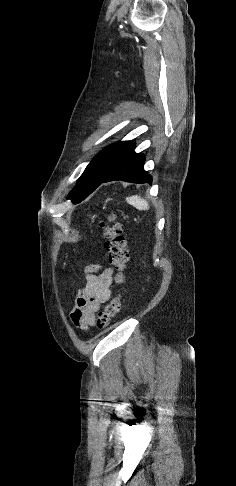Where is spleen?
Here are the masks:
<instances>
[{"mask_svg": "<svg viewBox=\"0 0 236 486\" xmlns=\"http://www.w3.org/2000/svg\"><path fill=\"white\" fill-rule=\"evenodd\" d=\"M126 201H127V203H129L130 205H132L133 207H135L138 210H148L149 209L148 202L138 195L126 198Z\"/></svg>", "mask_w": 236, "mask_h": 486, "instance_id": "1", "label": "spleen"}]
</instances>
